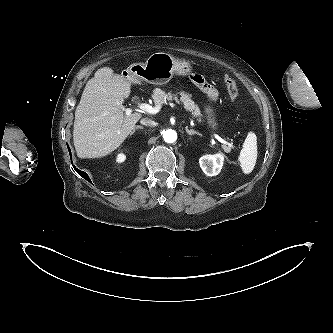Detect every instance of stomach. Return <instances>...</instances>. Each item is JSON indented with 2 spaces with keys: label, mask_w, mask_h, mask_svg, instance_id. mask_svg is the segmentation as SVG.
Wrapping results in <instances>:
<instances>
[{
  "label": "stomach",
  "mask_w": 333,
  "mask_h": 333,
  "mask_svg": "<svg viewBox=\"0 0 333 333\" xmlns=\"http://www.w3.org/2000/svg\"><path fill=\"white\" fill-rule=\"evenodd\" d=\"M192 66L189 62L178 60L168 53H154L145 63L131 64L126 70V77L132 82L145 81L146 83L163 85L168 83L175 74L186 75L191 72ZM208 127L217 129L218 123L213 107H205Z\"/></svg>",
  "instance_id": "0dacf381"
}]
</instances>
